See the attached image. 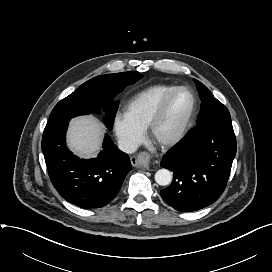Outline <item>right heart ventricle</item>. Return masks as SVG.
<instances>
[{"label": "right heart ventricle", "instance_id": "e07e8e85", "mask_svg": "<svg viewBox=\"0 0 272 272\" xmlns=\"http://www.w3.org/2000/svg\"><path fill=\"white\" fill-rule=\"evenodd\" d=\"M178 86L158 84L137 93L127 104L126 114L144 130L161 105L165 97Z\"/></svg>", "mask_w": 272, "mask_h": 272}]
</instances>
